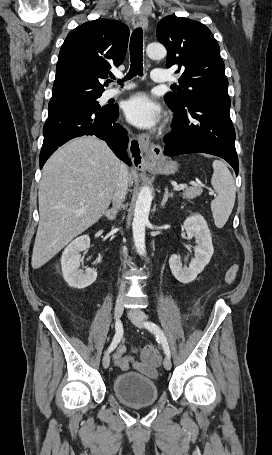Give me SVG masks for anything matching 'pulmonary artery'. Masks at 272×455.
Listing matches in <instances>:
<instances>
[{
  "instance_id": "pulmonary-artery-1",
  "label": "pulmonary artery",
  "mask_w": 272,
  "mask_h": 455,
  "mask_svg": "<svg viewBox=\"0 0 272 455\" xmlns=\"http://www.w3.org/2000/svg\"><path fill=\"white\" fill-rule=\"evenodd\" d=\"M152 80L156 83H166L169 81V75L168 73L165 71V70H162V69H154L152 71ZM131 88V85H127L123 88H111V89H108L107 91H105V93L103 94V98L104 99H110V98H113L119 94H121L122 92L128 90Z\"/></svg>"
}]
</instances>
